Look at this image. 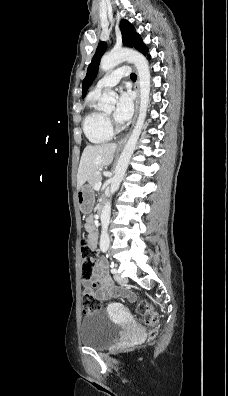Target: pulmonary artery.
<instances>
[{"mask_svg":"<svg viewBox=\"0 0 228 396\" xmlns=\"http://www.w3.org/2000/svg\"><path fill=\"white\" fill-rule=\"evenodd\" d=\"M129 75V69L126 66L120 67L102 77L93 89V92L100 94L103 90L111 88L119 83L122 77Z\"/></svg>","mask_w":228,"mask_h":396,"instance_id":"obj_1","label":"pulmonary artery"}]
</instances>
